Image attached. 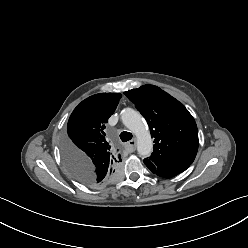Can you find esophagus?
Here are the masks:
<instances>
[{"mask_svg":"<svg viewBox=\"0 0 248 248\" xmlns=\"http://www.w3.org/2000/svg\"><path fill=\"white\" fill-rule=\"evenodd\" d=\"M126 147L129 152H134L136 149V139H132L126 144Z\"/></svg>","mask_w":248,"mask_h":248,"instance_id":"obj_1","label":"esophagus"}]
</instances>
